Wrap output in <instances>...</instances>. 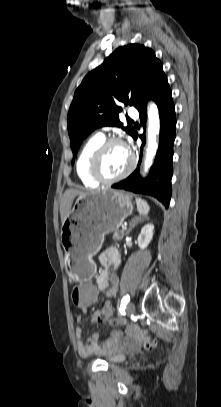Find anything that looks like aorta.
I'll return each mask as SVG.
<instances>
[{
    "label": "aorta",
    "mask_w": 221,
    "mask_h": 407,
    "mask_svg": "<svg viewBox=\"0 0 221 407\" xmlns=\"http://www.w3.org/2000/svg\"><path fill=\"white\" fill-rule=\"evenodd\" d=\"M147 124H148V146L144 162L145 171H147L152 165L153 159L155 158L158 149L156 139L160 131V119L158 108L154 103H150L148 106Z\"/></svg>",
    "instance_id": "aorta-1"
}]
</instances>
